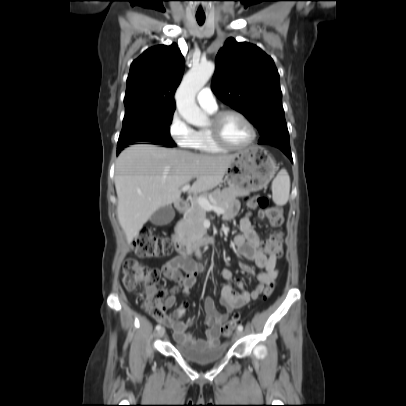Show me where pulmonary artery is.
Listing matches in <instances>:
<instances>
[{
    "label": "pulmonary artery",
    "mask_w": 406,
    "mask_h": 406,
    "mask_svg": "<svg viewBox=\"0 0 406 406\" xmlns=\"http://www.w3.org/2000/svg\"><path fill=\"white\" fill-rule=\"evenodd\" d=\"M197 101L200 104V106L206 110L217 109L216 98L209 87H204L199 91L197 95Z\"/></svg>",
    "instance_id": "e3ab8cb5"
}]
</instances>
